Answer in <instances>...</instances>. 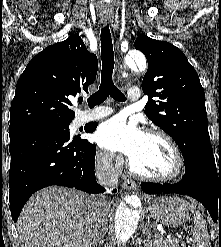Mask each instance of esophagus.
Segmentation results:
<instances>
[{
  "instance_id": "esophagus-1",
  "label": "esophagus",
  "mask_w": 221,
  "mask_h": 247,
  "mask_svg": "<svg viewBox=\"0 0 221 247\" xmlns=\"http://www.w3.org/2000/svg\"><path fill=\"white\" fill-rule=\"evenodd\" d=\"M108 21H109V17H102V19H101V22H102L103 25H106L108 23ZM122 187L124 189H127V190H137V187L138 186H137V184H136L135 181H133V180H126L123 183Z\"/></svg>"
}]
</instances>
